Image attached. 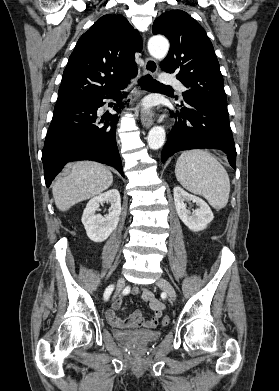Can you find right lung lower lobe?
I'll list each match as a JSON object with an SVG mask.
<instances>
[{
  "label": "right lung lower lobe",
  "mask_w": 279,
  "mask_h": 391,
  "mask_svg": "<svg viewBox=\"0 0 279 391\" xmlns=\"http://www.w3.org/2000/svg\"><path fill=\"white\" fill-rule=\"evenodd\" d=\"M108 98L119 102V92L54 108L42 151L47 187L64 164L72 160L87 159L108 164L124 176L115 138L117 115L98 113L99 107L105 104L103 99ZM117 107L115 111L119 112Z\"/></svg>",
  "instance_id": "1"
}]
</instances>
